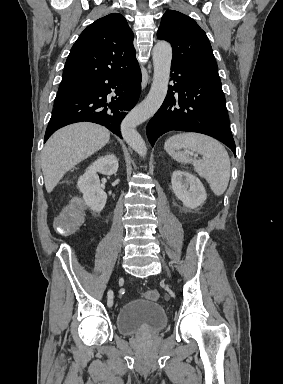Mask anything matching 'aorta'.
<instances>
[{
	"instance_id": "1",
	"label": "aorta",
	"mask_w": 283,
	"mask_h": 384,
	"mask_svg": "<svg viewBox=\"0 0 283 384\" xmlns=\"http://www.w3.org/2000/svg\"><path fill=\"white\" fill-rule=\"evenodd\" d=\"M172 48L166 41H159L153 48V82L147 97L123 120L121 133L127 144L141 157L147 147L136 127L151 118L162 105L168 91Z\"/></svg>"
}]
</instances>
